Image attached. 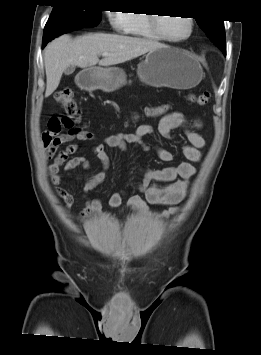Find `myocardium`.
Here are the masks:
<instances>
[{"instance_id": "1", "label": "myocardium", "mask_w": 261, "mask_h": 355, "mask_svg": "<svg viewBox=\"0 0 261 355\" xmlns=\"http://www.w3.org/2000/svg\"><path fill=\"white\" fill-rule=\"evenodd\" d=\"M155 15H157V14L150 15V24H151V28H152L153 32L160 40L170 42V43H180V42L188 40L194 33L195 20L191 16H186V19L188 20L189 26H190L189 33L186 36H184L182 38H178V39H173V38L167 37L166 35L163 34V32L161 30V27H160V20L161 19L158 17V15L157 16H155Z\"/></svg>"}]
</instances>
